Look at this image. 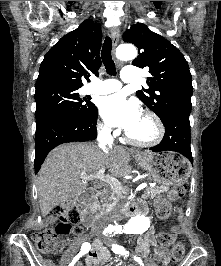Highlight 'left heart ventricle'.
Here are the masks:
<instances>
[{"instance_id": "left-heart-ventricle-1", "label": "left heart ventricle", "mask_w": 221, "mask_h": 266, "mask_svg": "<svg viewBox=\"0 0 221 266\" xmlns=\"http://www.w3.org/2000/svg\"><path fill=\"white\" fill-rule=\"evenodd\" d=\"M127 132L135 139L144 140L153 135L154 129L151 122L142 116L140 121Z\"/></svg>"}]
</instances>
